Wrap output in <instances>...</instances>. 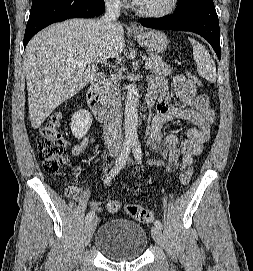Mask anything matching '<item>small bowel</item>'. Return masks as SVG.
Here are the masks:
<instances>
[{
    "label": "small bowel",
    "mask_w": 253,
    "mask_h": 271,
    "mask_svg": "<svg viewBox=\"0 0 253 271\" xmlns=\"http://www.w3.org/2000/svg\"><path fill=\"white\" fill-rule=\"evenodd\" d=\"M171 89L188 108L171 105ZM148 92L157 97V114L151 124L148 145L162 153L160 160H150L149 164L162 166L166 170L185 169L193 163L194 156L202 153L211 136L215 114L209 107L208 99L197 93L196 80L184 75H177L172 81L164 76H157L149 83ZM175 120L191 124L185 130L186 138L180 143L175 133L162 132L165 125ZM92 140V136H84L80 143L73 146L72 154L80 155ZM92 208L97 212L102 210L95 203Z\"/></svg>",
    "instance_id": "1"
}]
</instances>
